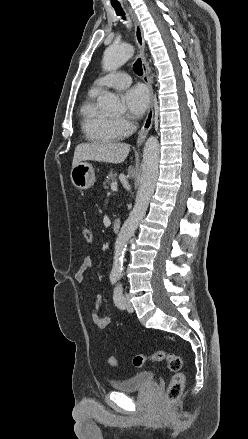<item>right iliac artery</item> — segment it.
<instances>
[{"mask_svg":"<svg viewBox=\"0 0 248 439\" xmlns=\"http://www.w3.org/2000/svg\"><path fill=\"white\" fill-rule=\"evenodd\" d=\"M118 278H119L118 275H116V274H111V275H110V281H111V283H112V284H115L116 281L118 280Z\"/></svg>","mask_w":248,"mask_h":439,"instance_id":"82829eb1","label":"right iliac artery"}]
</instances>
